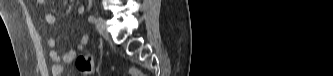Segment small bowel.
<instances>
[{"label": "small bowel", "instance_id": "1", "mask_svg": "<svg viewBox=\"0 0 333 76\" xmlns=\"http://www.w3.org/2000/svg\"><path fill=\"white\" fill-rule=\"evenodd\" d=\"M39 6H45L47 4L46 0H37L36 1ZM85 12V8L83 6H80L77 9V13L79 15H82ZM45 21L46 23L53 25L56 23V17L52 14L45 15ZM89 41V36L87 34H84L80 37L76 47L74 49H71L67 51L66 53H60L57 51V42L54 39H49L47 41V46L49 49V57L52 61V75L53 76H61L63 73V63L70 64L73 62L75 57L77 56L79 51H82L86 44Z\"/></svg>", "mask_w": 333, "mask_h": 76}]
</instances>
